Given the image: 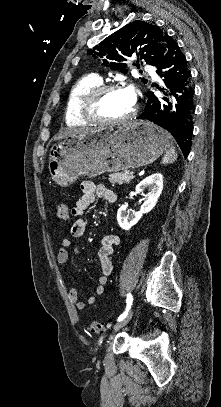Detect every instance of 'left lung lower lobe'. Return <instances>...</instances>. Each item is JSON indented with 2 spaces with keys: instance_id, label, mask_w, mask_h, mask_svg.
<instances>
[{
  "instance_id": "obj_1",
  "label": "left lung lower lobe",
  "mask_w": 221,
  "mask_h": 407,
  "mask_svg": "<svg viewBox=\"0 0 221 407\" xmlns=\"http://www.w3.org/2000/svg\"><path fill=\"white\" fill-rule=\"evenodd\" d=\"M163 78V97L147 95L143 113L138 119L148 120L168 130L176 139L185 157L191 148L195 112L191 72L181 48L175 41L168 45L163 59L156 65Z\"/></svg>"
}]
</instances>
